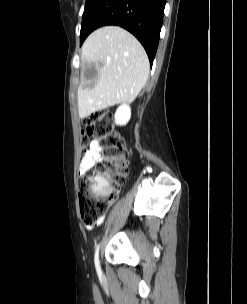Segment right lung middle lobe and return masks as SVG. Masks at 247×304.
Instances as JSON below:
<instances>
[{"label":"right lung middle lobe","mask_w":247,"mask_h":304,"mask_svg":"<svg viewBox=\"0 0 247 304\" xmlns=\"http://www.w3.org/2000/svg\"><path fill=\"white\" fill-rule=\"evenodd\" d=\"M98 1L99 0H86L85 9H84V13H83V18H85L91 12V10L93 9V7L96 5V3ZM82 34H83V30L81 29L80 36Z\"/></svg>","instance_id":"dd1d6c3e"}]
</instances>
